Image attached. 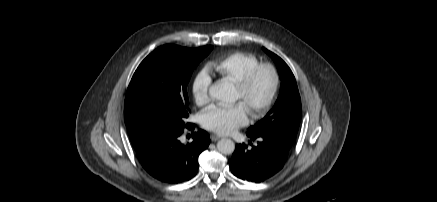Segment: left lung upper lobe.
<instances>
[{
  "label": "left lung upper lobe",
  "instance_id": "5c2ea615",
  "mask_svg": "<svg viewBox=\"0 0 437 202\" xmlns=\"http://www.w3.org/2000/svg\"><path fill=\"white\" fill-rule=\"evenodd\" d=\"M263 50L272 57L277 66L281 79L280 93L273 108L247 132L267 135L291 148L301 119V99L296 80L288 65L279 56L266 48Z\"/></svg>",
  "mask_w": 437,
  "mask_h": 202
}]
</instances>
